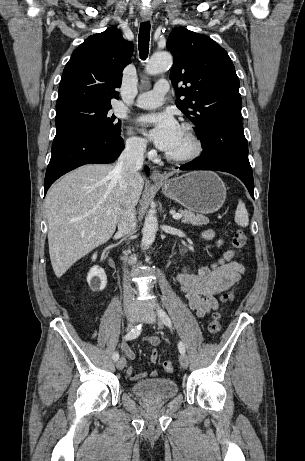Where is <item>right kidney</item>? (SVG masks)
I'll return each mask as SVG.
<instances>
[{"label":"right kidney","mask_w":305,"mask_h":461,"mask_svg":"<svg viewBox=\"0 0 305 461\" xmlns=\"http://www.w3.org/2000/svg\"><path fill=\"white\" fill-rule=\"evenodd\" d=\"M97 254H93L92 260H95ZM87 282L92 291H102L107 284V276L104 269L94 266L90 269L87 275Z\"/></svg>","instance_id":"right-kidney-1"}]
</instances>
